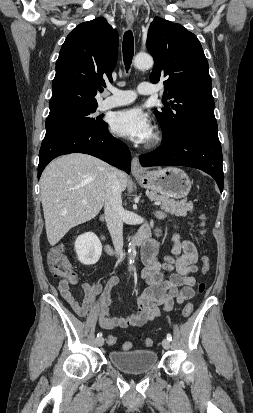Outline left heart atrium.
<instances>
[{
  "label": "left heart atrium",
  "mask_w": 253,
  "mask_h": 413,
  "mask_svg": "<svg viewBox=\"0 0 253 413\" xmlns=\"http://www.w3.org/2000/svg\"><path fill=\"white\" fill-rule=\"evenodd\" d=\"M110 127L115 134L138 143L147 142L153 136V125L149 116L136 107L114 113Z\"/></svg>",
  "instance_id": "obj_1"
}]
</instances>
